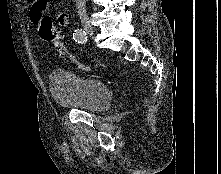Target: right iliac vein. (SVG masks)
<instances>
[{"instance_id": "1", "label": "right iliac vein", "mask_w": 221, "mask_h": 174, "mask_svg": "<svg viewBox=\"0 0 221 174\" xmlns=\"http://www.w3.org/2000/svg\"><path fill=\"white\" fill-rule=\"evenodd\" d=\"M81 23H82V26H83L85 32L87 34H89L90 36H92L94 31H93V27H92V24L90 23V21L87 18H83L81 20Z\"/></svg>"}]
</instances>
